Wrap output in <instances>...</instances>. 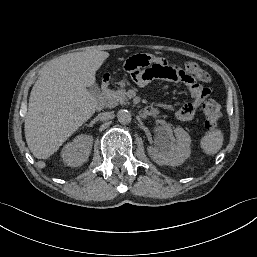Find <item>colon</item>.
<instances>
[{
	"label": "colon",
	"mask_w": 257,
	"mask_h": 257,
	"mask_svg": "<svg viewBox=\"0 0 257 257\" xmlns=\"http://www.w3.org/2000/svg\"><path fill=\"white\" fill-rule=\"evenodd\" d=\"M181 69L185 70L188 74H192L196 78V80L202 82H207L210 80V75L208 74V72L196 63L187 62L184 65V68ZM202 111L205 117V126L208 129L215 128L219 124L221 119L220 106L213 100H207L202 105Z\"/></svg>",
	"instance_id": "5ec220e1"
}]
</instances>
